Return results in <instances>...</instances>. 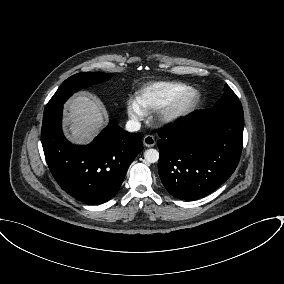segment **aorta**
Segmentation results:
<instances>
[{
    "instance_id": "obj_1",
    "label": "aorta",
    "mask_w": 284,
    "mask_h": 284,
    "mask_svg": "<svg viewBox=\"0 0 284 284\" xmlns=\"http://www.w3.org/2000/svg\"><path fill=\"white\" fill-rule=\"evenodd\" d=\"M144 159L148 163H156L159 160V152L156 149H147L144 152Z\"/></svg>"
}]
</instances>
